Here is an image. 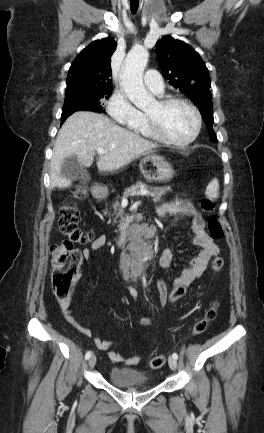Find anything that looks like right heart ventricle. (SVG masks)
Listing matches in <instances>:
<instances>
[{
  "label": "right heart ventricle",
  "instance_id": "right-heart-ventricle-1",
  "mask_svg": "<svg viewBox=\"0 0 264 433\" xmlns=\"http://www.w3.org/2000/svg\"><path fill=\"white\" fill-rule=\"evenodd\" d=\"M131 129L133 132H135V133H137L143 137L155 138L154 135L152 134L149 126H148V123H147V120H146V117L144 114H142L141 119L137 124L131 126Z\"/></svg>",
  "mask_w": 264,
  "mask_h": 433
}]
</instances>
